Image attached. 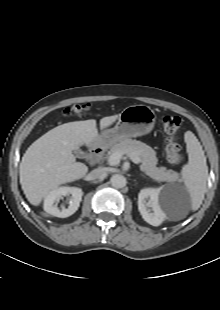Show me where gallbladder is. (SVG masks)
Instances as JSON below:
<instances>
[{"label": "gallbladder", "mask_w": 220, "mask_h": 310, "mask_svg": "<svg viewBox=\"0 0 220 310\" xmlns=\"http://www.w3.org/2000/svg\"><path fill=\"white\" fill-rule=\"evenodd\" d=\"M74 154L77 158H83L84 157V153L80 149L74 150Z\"/></svg>", "instance_id": "bac80fb5"}]
</instances>
